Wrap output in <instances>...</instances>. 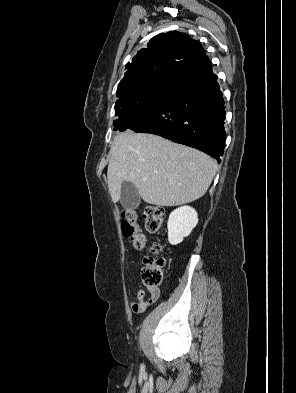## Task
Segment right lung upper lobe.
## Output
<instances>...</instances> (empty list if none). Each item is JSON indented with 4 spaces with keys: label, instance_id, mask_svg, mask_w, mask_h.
Here are the masks:
<instances>
[{
    "label": "right lung upper lobe",
    "instance_id": "cb5924a9",
    "mask_svg": "<svg viewBox=\"0 0 296 393\" xmlns=\"http://www.w3.org/2000/svg\"><path fill=\"white\" fill-rule=\"evenodd\" d=\"M206 56L200 42L177 31L153 37L147 47L137 52L126 65L124 78L117 89V102L140 94L144 85L156 77H172L179 69L189 67Z\"/></svg>",
    "mask_w": 296,
    "mask_h": 393
}]
</instances>
